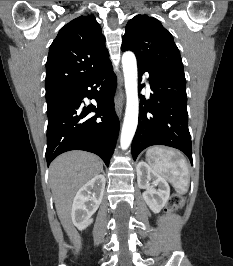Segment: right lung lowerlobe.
Instances as JSON below:
<instances>
[{
    "label": "right lung lower lobe",
    "instance_id": "98d812e1",
    "mask_svg": "<svg viewBox=\"0 0 233 266\" xmlns=\"http://www.w3.org/2000/svg\"><path fill=\"white\" fill-rule=\"evenodd\" d=\"M116 83L110 63L67 95L47 105L48 166L55 157L69 150L95 153L109 166L120 126L114 111ZM89 86L94 87L88 90ZM84 97L94 98L97 107L82 106ZM91 112L96 115L90 117Z\"/></svg>",
    "mask_w": 233,
    "mask_h": 266
}]
</instances>
